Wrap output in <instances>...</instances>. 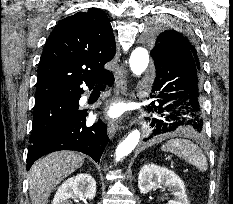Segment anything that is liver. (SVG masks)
Returning <instances> with one entry per match:
<instances>
[{"label": "liver", "mask_w": 233, "mask_h": 204, "mask_svg": "<svg viewBox=\"0 0 233 204\" xmlns=\"http://www.w3.org/2000/svg\"><path fill=\"white\" fill-rule=\"evenodd\" d=\"M84 163L73 151L51 153L37 160L29 171V194L32 204H47L53 189Z\"/></svg>", "instance_id": "obj_1"}]
</instances>
